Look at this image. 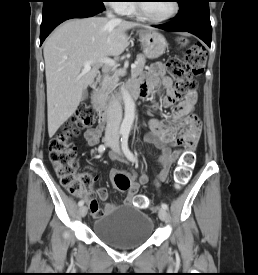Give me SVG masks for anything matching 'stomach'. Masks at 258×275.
Instances as JSON below:
<instances>
[{"label":"stomach","mask_w":258,"mask_h":275,"mask_svg":"<svg viewBox=\"0 0 258 275\" xmlns=\"http://www.w3.org/2000/svg\"><path fill=\"white\" fill-rule=\"evenodd\" d=\"M138 34L145 57L149 59H156L165 52L167 42L161 33L144 29L139 30Z\"/></svg>","instance_id":"stomach-1"}]
</instances>
